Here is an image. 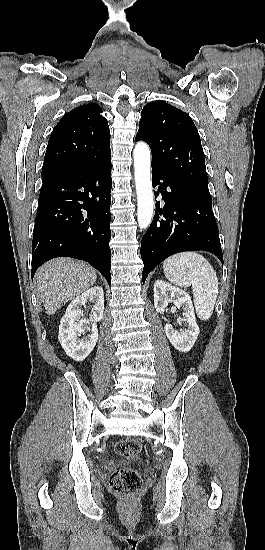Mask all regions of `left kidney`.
Masks as SVG:
<instances>
[{
  "label": "left kidney",
  "mask_w": 265,
  "mask_h": 550,
  "mask_svg": "<svg viewBox=\"0 0 265 550\" xmlns=\"http://www.w3.org/2000/svg\"><path fill=\"white\" fill-rule=\"evenodd\" d=\"M169 303H173L178 309L183 308V316L187 321V329L176 331L170 323L164 327L170 343L180 352H188L194 345L198 335L194 307L189 294L171 284L158 280L154 284V306L158 313H164Z\"/></svg>",
  "instance_id": "obj_1"
}]
</instances>
